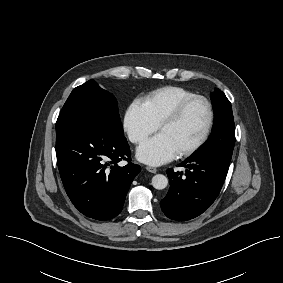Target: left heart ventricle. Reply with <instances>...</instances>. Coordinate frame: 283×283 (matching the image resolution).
<instances>
[{
	"instance_id": "b2bd125f",
	"label": "left heart ventricle",
	"mask_w": 283,
	"mask_h": 283,
	"mask_svg": "<svg viewBox=\"0 0 283 283\" xmlns=\"http://www.w3.org/2000/svg\"><path fill=\"white\" fill-rule=\"evenodd\" d=\"M207 121V107L203 102L197 101L188 107L177 123L162 128L160 133L172 142L179 153L201 137Z\"/></svg>"
}]
</instances>
